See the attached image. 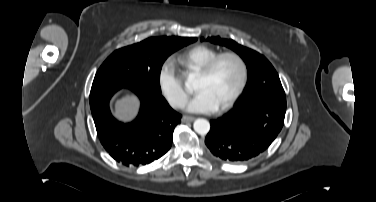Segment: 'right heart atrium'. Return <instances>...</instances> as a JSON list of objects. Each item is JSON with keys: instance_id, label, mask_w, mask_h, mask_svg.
Here are the masks:
<instances>
[{"instance_id": "d8ad5b80", "label": "right heart atrium", "mask_w": 376, "mask_h": 202, "mask_svg": "<svg viewBox=\"0 0 376 202\" xmlns=\"http://www.w3.org/2000/svg\"><path fill=\"white\" fill-rule=\"evenodd\" d=\"M157 82L161 94L172 107L179 108L183 106L186 92L183 88L181 77L171 60L167 59L161 64L158 70Z\"/></svg>"}]
</instances>
